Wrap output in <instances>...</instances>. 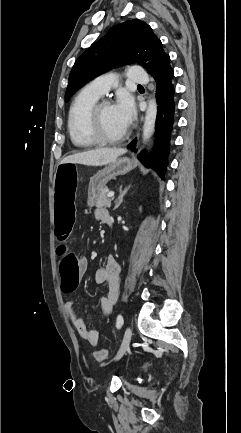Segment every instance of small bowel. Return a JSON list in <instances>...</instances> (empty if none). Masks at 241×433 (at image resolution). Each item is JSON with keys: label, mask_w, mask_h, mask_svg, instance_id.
<instances>
[{"label": "small bowel", "mask_w": 241, "mask_h": 433, "mask_svg": "<svg viewBox=\"0 0 241 433\" xmlns=\"http://www.w3.org/2000/svg\"><path fill=\"white\" fill-rule=\"evenodd\" d=\"M94 216L96 220L105 222V218L109 217L110 215L106 208L98 207L94 211ZM79 266L82 272L86 271L87 261L85 258L81 257L79 259ZM120 274V264L115 258L111 256L106 257L104 265L97 268L95 271V282L97 284L105 283L107 285V294L100 298V308L102 312L106 315L111 313L118 299L120 291ZM65 309L69 319L73 323L78 334L91 346H97L99 339V331L97 329H89L86 326L84 320L79 315L76 307V302L68 301L65 305Z\"/></svg>", "instance_id": "small-bowel-1"}]
</instances>
